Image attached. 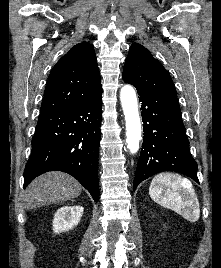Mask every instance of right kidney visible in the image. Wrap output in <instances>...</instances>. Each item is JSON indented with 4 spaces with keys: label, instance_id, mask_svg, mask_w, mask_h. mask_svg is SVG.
Returning a JSON list of instances; mask_svg holds the SVG:
<instances>
[{
    "label": "right kidney",
    "instance_id": "obj_1",
    "mask_svg": "<svg viewBox=\"0 0 221 268\" xmlns=\"http://www.w3.org/2000/svg\"><path fill=\"white\" fill-rule=\"evenodd\" d=\"M82 206L62 207L54 215L53 231L55 233L65 232L78 225L82 214Z\"/></svg>",
    "mask_w": 221,
    "mask_h": 268
}]
</instances>
